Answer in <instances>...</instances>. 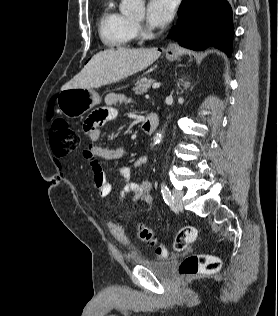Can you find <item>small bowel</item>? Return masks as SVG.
I'll use <instances>...</instances> for the list:
<instances>
[{
  "label": "small bowel",
  "mask_w": 278,
  "mask_h": 316,
  "mask_svg": "<svg viewBox=\"0 0 278 316\" xmlns=\"http://www.w3.org/2000/svg\"><path fill=\"white\" fill-rule=\"evenodd\" d=\"M125 100L126 98L121 94H108L105 98L106 106L94 111L86 119L83 125L88 142L82 151V157L91 167L94 185L101 197L110 196L112 187L106 178L105 172L100 164V160H118L125 154L124 149L121 147L108 148L99 142L101 128L107 121H110L117 116V107ZM147 161L148 157L146 155H141L133 162L132 165L122 166L118 170L120 180L125 184L121 194V199L123 200L126 196L131 195V197L125 202L126 206H131L139 202L148 206H152L153 204V197L151 194L152 184L149 181H142L140 183L131 181L134 170L145 165ZM109 205L112 207L111 204ZM108 228L110 233L119 242L123 244L129 243L128 237L119 224L114 221H109Z\"/></svg>",
  "instance_id": "small-bowel-1"
}]
</instances>
